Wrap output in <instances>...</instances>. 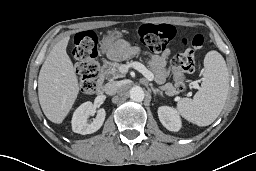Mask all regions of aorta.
<instances>
[{
  "label": "aorta",
  "mask_w": 256,
  "mask_h": 171,
  "mask_svg": "<svg viewBox=\"0 0 256 171\" xmlns=\"http://www.w3.org/2000/svg\"><path fill=\"white\" fill-rule=\"evenodd\" d=\"M130 98L135 102H142L144 100L145 94L140 86H135L130 89Z\"/></svg>",
  "instance_id": "obj_1"
}]
</instances>
